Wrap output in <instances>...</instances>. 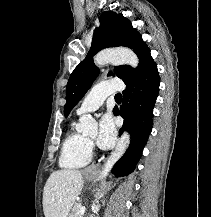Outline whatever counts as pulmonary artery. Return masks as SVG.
I'll use <instances>...</instances> for the list:
<instances>
[{
  "mask_svg": "<svg viewBox=\"0 0 211 217\" xmlns=\"http://www.w3.org/2000/svg\"><path fill=\"white\" fill-rule=\"evenodd\" d=\"M124 87V83L118 78L95 84L80 104L77 114L81 115L97 110L109 95L122 91Z\"/></svg>",
  "mask_w": 211,
  "mask_h": 217,
  "instance_id": "e3ab8cb5",
  "label": "pulmonary artery"
}]
</instances>
